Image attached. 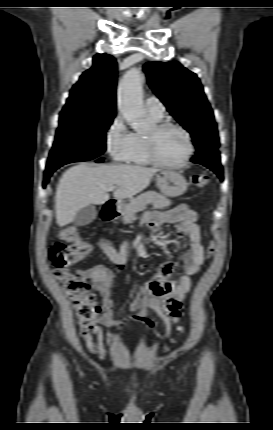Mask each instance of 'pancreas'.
I'll return each instance as SVG.
<instances>
[{"label":"pancreas","mask_w":273,"mask_h":430,"mask_svg":"<svg viewBox=\"0 0 273 430\" xmlns=\"http://www.w3.org/2000/svg\"><path fill=\"white\" fill-rule=\"evenodd\" d=\"M148 204H152L155 208H163L170 206L171 201L156 191H147L132 199L125 206L123 214L124 223H132L135 220V214L146 209Z\"/></svg>","instance_id":"cf45deb5"}]
</instances>
